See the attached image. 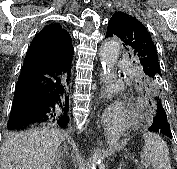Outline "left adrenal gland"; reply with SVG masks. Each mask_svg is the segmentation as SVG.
Returning <instances> with one entry per match:
<instances>
[{
  "instance_id": "obj_1",
  "label": "left adrenal gland",
  "mask_w": 177,
  "mask_h": 169,
  "mask_svg": "<svg viewBox=\"0 0 177 169\" xmlns=\"http://www.w3.org/2000/svg\"><path fill=\"white\" fill-rule=\"evenodd\" d=\"M123 161L120 162L118 169H122Z\"/></svg>"
}]
</instances>
